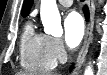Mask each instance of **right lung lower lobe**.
Returning a JSON list of instances; mask_svg holds the SVG:
<instances>
[{
    "label": "right lung lower lobe",
    "instance_id": "1",
    "mask_svg": "<svg viewBox=\"0 0 107 75\" xmlns=\"http://www.w3.org/2000/svg\"><path fill=\"white\" fill-rule=\"evenodd\" d=\"M84 13H85V16L88 17V9H87V7H84Z\"/></svg>",
    "mask_w": 107,
    "mask_h": 75
}]
</instances>
